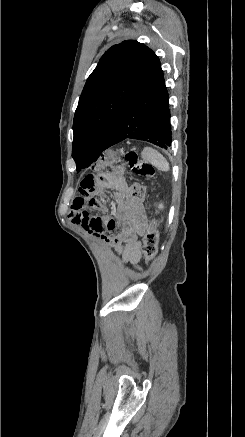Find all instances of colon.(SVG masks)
<instances>
[{"label": "colon", "mask_w": 245, "mask_h": 437, "mask_svg": "<svg viewBox=\"0 0 245 437\" xmlns=\"http://www.w3.org/2000/svg\"><path fill=\"white\" fill-rule=\"evenodd\" d=\"M125 159L135 173L149 179L154 177V168L142 162L136 152L128 151L125 154ZM129 192L130 200L134 205H138L143 202L145 198V188L143 185L132 184L129 187ZM158 223L159 221L157 218H152L143 238V254L146 262L153 260L158 252Z\"/></svg>", "instance_id": "obj_1"}]
</instances>
